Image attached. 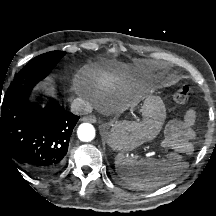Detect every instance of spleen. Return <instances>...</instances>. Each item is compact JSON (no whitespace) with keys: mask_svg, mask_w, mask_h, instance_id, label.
Segmentation results:
<instances>
[{"mask_svg":"<svg viewBox=\"0 0 216 216\" xmlns=\"http://www.w3.org/2000/svg\"><path fill=\"white\" fill-rule=\"evenodd\" d=\"M115 168L120 178L133 188L153 190L177 178L182 171L174 161L153 158L137 159L123 153L115 157Z\"/></svg>","mask_w":216,"mask_h":216,"instance_id":"1","label":"spleen"}]
</instances>
